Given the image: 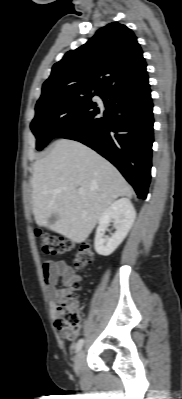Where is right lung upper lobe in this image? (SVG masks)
<instances>
[{"label":"right lung upper lobe","mask_w":182,"mask_h":399,"mask_svg":"<svg viewBox=\"0 0 182 399\" xmlns=\"http://www.w3.org/2000/svg\"><path fill=\"white\" fill-rule=\"evenodd\" d=\"M142 53L129 28L110 23L54 64L38 102L61 96L103 95L114 86L140 80L147 76Z\"/></svg>","instance_id":"1"}]
</instances>
